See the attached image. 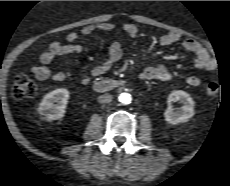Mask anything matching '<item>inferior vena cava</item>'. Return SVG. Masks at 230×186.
Here are the masks:
<instances>
[{
	"instance_id": "inferior-vena-cava-1",
	"label": "inferior vena cava",
	"mask_w": 230,
	"mask_h": 186,
	"mask_svg": "<svg viewBox=\"0 0 230 186\" xmlns=\"http://www.w3.org/2000/svg\"><path fill=\"white\" fill-rule=\"evenodd\" d=\"M112 98H113L112 95L104 94V95H101V96L98 97V101L100 103H109V102L112 101Z\"/></svg>"
}]
</instances>
